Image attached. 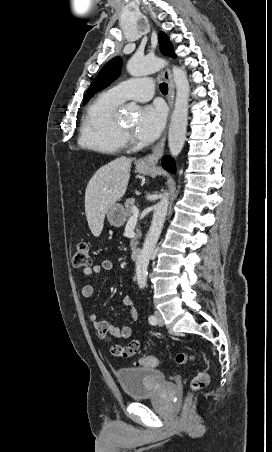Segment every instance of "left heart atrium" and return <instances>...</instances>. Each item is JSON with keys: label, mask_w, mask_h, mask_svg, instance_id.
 Instances as JSON below:
<instances>
[{"label": "left heart atrium", "mask_w": 272, "mask_h": 452, "mask_svg": "<svg viewBox=\"0 0 272 452\" xmlns=\"http://www.w3.org/2000/svg\"><path fill=\"white\" fill-rule=\"evenodd\" d=\"M166 120V112L162 105L144 106L135 127V135L143 141H152L161 133Z\"/></svg>", "instance_id": "39dd6f15"}]
</instances>
